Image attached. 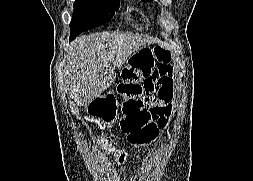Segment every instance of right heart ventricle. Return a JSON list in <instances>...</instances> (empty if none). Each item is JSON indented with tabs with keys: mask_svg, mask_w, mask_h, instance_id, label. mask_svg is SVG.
Returning <instances> with one entry per match:
<instances>
[{
	"mask_svg": "<svg viewBox=\"0 0 253 181\" xmlns=\"http://www.w3.org/2000/svg\"><path fill=\"white\" fill-rule=\"evenodd\" d=\"M126 20L128 21L129 24H131L133 27L136 29H141V26L139 24L134 23L133 17L130 13L126 15Z\"/></svg>",
	"mask_w": 253,
	"mask_h": 181,
	"instance_id": "right-heart-ventricle-1",
	"label": "right heart ventricle"
}]
</instances>
